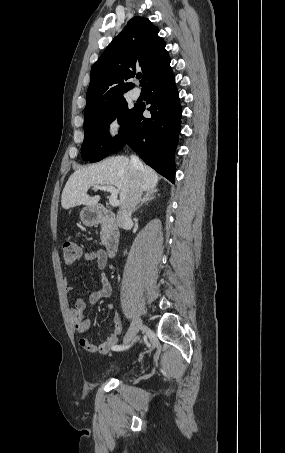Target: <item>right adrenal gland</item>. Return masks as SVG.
Segmentation results:
<instances>
[{
  "label": "right adrenal gland",
  "mask_w": 285,
  "mask_h": 453,
  "mask_svg": "<svg viewBox=\"0 0 285 453\" xmlns=\"http://www.w3.org/2000/svg\"><path fill=\"white\" fill-rule=\"evenodd\" d=\"M157 192H158L157 189L147 190L143 199L141 200V203L133 210V212L137 211L144 203L155 199L156 198L155 195L157 194Z\"/></svg>",
  "instance_id": "right-adrenal-gland-1"
}]
</instances>
